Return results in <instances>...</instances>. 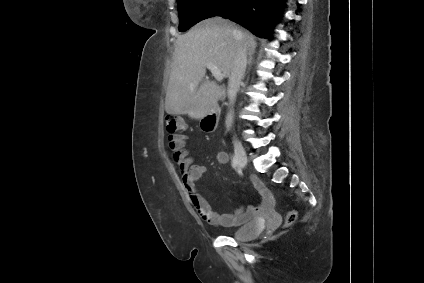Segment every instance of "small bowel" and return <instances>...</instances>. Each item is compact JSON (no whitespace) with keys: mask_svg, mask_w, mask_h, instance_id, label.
<instances>
[{"mask_svg":"<svg viewBox=\"0 0 424 283\" xmlns=\"http://www.w3.org/2000/svg\"><path fill=\"white\" fill-rule=\"evenodd\" d=\"M168 141L188 199L203 220L214 226L233 227L244 223L252 216L255 211L254 207L247 209L241 207L232 213L226 214H220L212 210L206 199L196 188V182L204 175L206 167L195 164V160L190 154V149L187 148L188 136L185 134H172L169 136ZM216 160L219 164L225 165L229 162V155L225 151H220L216 155ZM253 184L263 198L262 207H270L273 204V198L265 185L255 178L253 179Z\"/></svg>","mask_w":424,"mask_h":283,"instance_id":"small-bowel-1","label":"small bowel"}]
</instances>
